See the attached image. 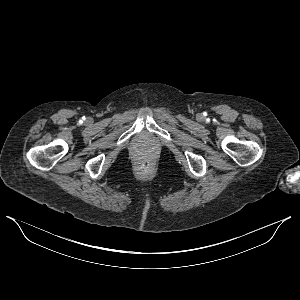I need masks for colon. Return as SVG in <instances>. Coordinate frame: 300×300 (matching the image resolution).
<instances>
[{"instance_id": "obj_1", "label": "colon", "mask_w": 300, "mask_h": 300, "mask_svg": "<svg viewBox=\"0 0 300 300\" xmlns=\"http://www.w3.org/2000/svg\"><path fill=\"white\" fill-rule=\"evenodd\" d=\"M142 169H149L151 167V162L149 160H143L140 163Z\"/></svg>"}]
</instances>
